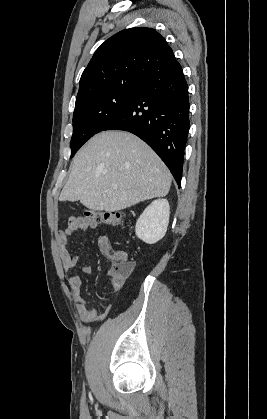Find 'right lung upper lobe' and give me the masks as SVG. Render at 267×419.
<instances>
[{
	"instance_id": "cb5924a9",
	"label": "right lung upper lobe",
	"mask_w": 267,
	"mask_h": 419,
	"mask_svg": "<svg viewBox=\"0 0 267 419\" xmlns=\"http://www.w3.org/2000/svg\"><path fill=\"white\" fill-rule=\"evenodd\" d=\"M175 61L172 49L156 30L146 27L122 30L94 53L82 73L76 102L112 89L141 86Z\"/></svg>"
}]
</instances>
